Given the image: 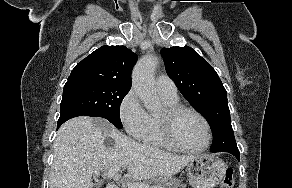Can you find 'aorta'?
<instances>
[{"label": "aorta", "mask_w": 292, "mask_h": 188, "mask_svg": "<svg viewBox=\"0 0 292 188\" xmlns=\"http://www.w3.org/2000/svg\"><path fill=\"white\" fill-rule=\"evenodd\" d=\"M157 63L156 56L146 55L137 62L132 74L133 88L149 111L161 109V102L157 96L154 81V71Z\"/></svg>", "instance_id": "aorta-1"}]
</instances>
